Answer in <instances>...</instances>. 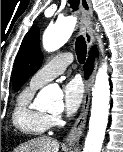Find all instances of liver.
<instances>
[{
	"mask_svg": "<svg viewBox=\"0 0 123 152\" xmlns=\"http://www.w3.org/2000/svg\"><path fill=\"white\" fill-rule=\"evenodd\" d=\"M14 152H59V143L50 137H39L24 143Z\"/></svg>",
	"mask_w": 123,
	"mask_h": 152,
	"instance_id": "liver-1",
	"label": "liver"
}]
</instances>
